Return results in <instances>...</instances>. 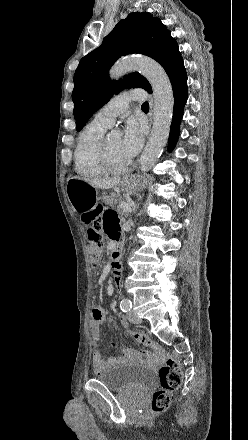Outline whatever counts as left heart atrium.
I'll list each match as a JSON object with an SVG mask.
<instances>
[{
	"label": "left heart atrium",
	"mask_w": 248,
	"mask_h": 440,
	"mask_svg": "<svg viewBox=\"0 0 248 440\" xmlns=\"http://www.w3.org/2000/svg\"><path fill=\"white\" fill-rule=\"evenodd\" d=\"M144 141L142 127L134 120L129 119L124 127L120 141L121 152L130 162L141 150Z\"/></svg>",
	"instance_id": "left-heart-atrium-1"
}]
</instances>
